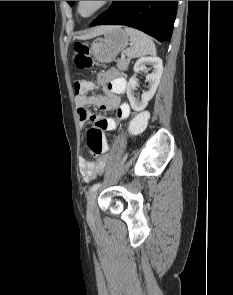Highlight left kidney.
Returning <instances> with one entry per match:
<instances>
[{"mask_svg": "<svg viewBox=\"0 0 233 295\" xmlns=\"http://www.w3.org/2000/svg\"><path fill=\"white\" fill-rule=\"evenodd\" d=\"M146 65H152L153 71L146 75V82H148V90L143 92L141 95V100H138L134 96V90L138 87V83L135 80V76L132 77L127 84V97L131 104V107L135 111H142L146 108L148 102L154 96L160 78L163 72L162 60L159 57H141L134 65L135 74L141 71L148 72Z\"/></svg>", "mask_w": 233, "mask_h": 295, "instance_id": "1", "label": "left kidney"}]
</instances>
